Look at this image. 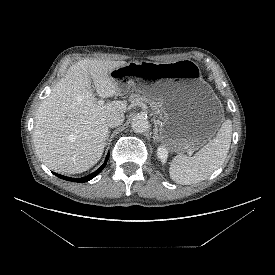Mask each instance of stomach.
<instances>
[{"mask_svg":"<svg viewBox=\"0 0 275 275\" xmlns=\"http://www.w3.org/2000/svg\"><path fill=\"white\" fill-rule=\"evenodd\" d=\"M110 76L121 91H135L160 100L164 122L160 139L175 153L195 151L216 133L224 113L211 86L192 60L129 62Z\"/></svg>","mask_w":275,"mask_h":275,"instance_id":"obj_1","label":"stomach"}]
</instances>
